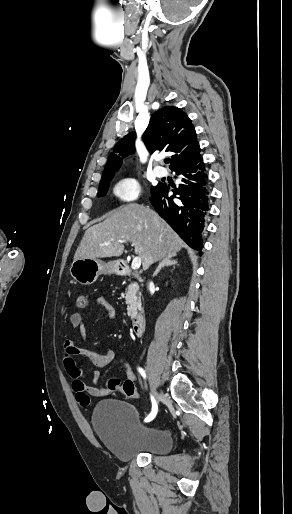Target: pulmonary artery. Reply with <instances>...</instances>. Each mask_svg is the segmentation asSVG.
Wrapping results in <instances>:
<instances>
[{"label":"pulmonary artery","mask_w":292,"mask_h":514,"mask_svg":"<svg viewBox=\"0 0 292 514\" xmlns=\"http://www.w3.org/2000/svg\"><path fill=\"white\" fill-rule=\"evenodd\" d=\"M154 173L159 178H161V177L166 175V173H165L163 168L162 169H155Z\"/></svg>","instance_id":"e3ab8cb5"}]
</instances>
